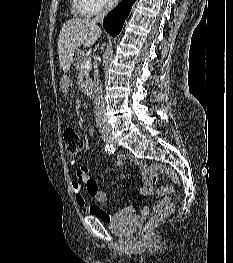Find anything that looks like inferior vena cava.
<instances>
[{
  "label": "inferior vena cava",
  "instance_id": "inferior-vena-cava-1",
  "mask_svg": "<svg viewBox=\"0 0 233 263\" xmlns=\"http://www.w3.org/2000/svg\"><path fill=\"white\" fill-rule=\"evenodd\" d=\"M116 2L117 0H108L104 10L93 19V22H102L108 12L116 5ZM94 113L98 126L102 130L110 131L111 127L107 122V117L105 116V102L102 94V84L99 80H97L95 84Z\"/></svg>",
  "mask_w": 233,
  "mask_h": 263
}]
</instances>
